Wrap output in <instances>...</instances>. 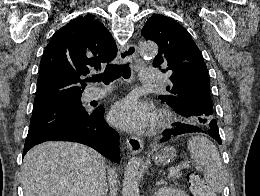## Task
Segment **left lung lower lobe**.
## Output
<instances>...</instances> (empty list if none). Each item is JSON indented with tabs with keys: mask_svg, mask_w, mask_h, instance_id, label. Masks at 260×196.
I'll return each instance as SVG.
<instances>
[{
	"mask_svg": "<svg viewBox=\"0 0 260 196\" xmlns=\"http://www.w3.org/2000/svg\"><path fill=\"white\" fill-rule=\"evenodd\" d=\"M214 111L208 109V108H199V109H194L190 111L192 115H210ZM176 127L174 129H167L165 130L162 134L164 135L163 139L161 142H165L171 138V136H177L180 134L184 133H189V132H204L209 134L212 138H214L219 144H221V139L218 131V126H217V121L214 120L211 122L209 129L207 131H204L200 127H197L195 125H190V124H173Z\"/></svg>",
	"mask_w": 260,
	"mask_h": 196,
	"instance_id": "0a47b994",
	"label": "left lung lower lobe"
}]
</instances>
